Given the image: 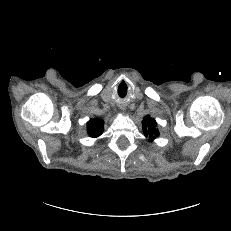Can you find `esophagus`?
<instances>
[{
	"mask_svg": "<svg viewBox=\"0 0 231 231\" xmlns=\"http://www.w3.org/2000/svg\"><path fill=\"white\" fill-rule=\"evenodd\" d=\"M122 110H125V107H121Z\"/></svg>",
	"mask_w": 231,
	"mask_h": 231,
	"instance_id": "34e87169",
	"label": "esophagus"
}]
</instances>
